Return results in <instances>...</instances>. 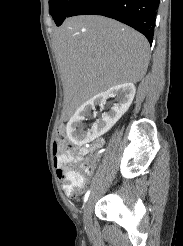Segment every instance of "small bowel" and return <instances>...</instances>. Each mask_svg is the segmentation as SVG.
<instances>
[{"instance_id":"obj_1","label":"small bowel","mask_w":183,"mask_h":246,"mask_svg":"<svg viewBox=\"0 0 183 246\" xmlns=\"http://www.w3.org/2000/svg\"><path fill=\"white\" fill-rule=\"evenodd\" d=\"M88 153L87 148H81L78 150L77 155L73 150L67 151L65 154L58 156L55 160V167L57 176L61 182V185L65 192L69 195H73L69 184H68V178H67V170L65 169L64 165L67 163H78L83 156H85ZM85 180H83V183L81 187L84 185Z\"/></svg>"}]
</instances>
